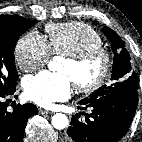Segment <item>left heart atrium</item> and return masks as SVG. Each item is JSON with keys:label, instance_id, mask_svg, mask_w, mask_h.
Segmentation results:
<instances>
[{"label": "left heart atrium", "instance_id": "left-heart-atrium-1", "mask_svg": "<svg viewBox=\"0 0 142 142\" xmlns=\"http://www.w3.org/2000/svg\"><path fill=\"white\" fill-rule=\"evenodd\" d=\"M26 97L40 106L67 99L72 90V79L65 73L43 71L24 80Z\"/></svg>", "mask_w": 142, "mask_h": 142}]
</instances>
